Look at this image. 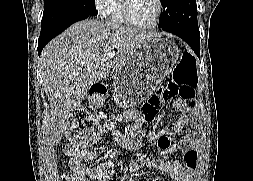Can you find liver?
I'll list each match as a JSON object with an SVG mask.
<instances>
[{
  "label": "liver",
  "instance_id": "6515ba94",
  "mask_svg": "<svg viewBox=\"0 0 253 181\" xmlns=\"http://www.w3.org/2000/svg\"><path fill=\"white\" fill-rule=\"evenodd\" d=\"M155 34L130 26L87 19L49 42L41 73L50 106L51 141L56 145L69 117L92 85L115 75L143 41ZM108 52L115 57L108 59Z\"/></svg>",
  "mask_w": 253,
  "mask_h": 181
}]
</instances>
